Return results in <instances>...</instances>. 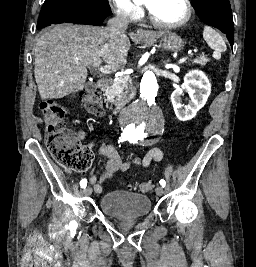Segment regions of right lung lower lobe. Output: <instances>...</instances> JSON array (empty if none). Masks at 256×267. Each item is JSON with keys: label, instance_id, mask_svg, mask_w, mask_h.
<instances>
[{"label": "right lung lower lobe", "instance_id": "obj_1", "mask_svg": "<svg viewBox=\"0 0 256 267\" xmlns=\"http://www.w3.org/2000/svg\"><path fill=\"white\" fill-rule=\"evenodd\" d=\"M103 17H95L89 14H82L78 16H69V17H56L52 20L43 22L42 24L38 23V26L44 28L51 24H59L64 22L76 23V24H88V25H100L102 24Z\"/></svg>", "mask_w": 256, "mask_h": 267}]
</instances>
